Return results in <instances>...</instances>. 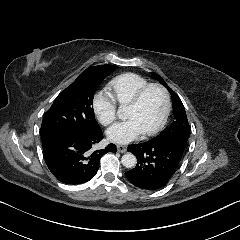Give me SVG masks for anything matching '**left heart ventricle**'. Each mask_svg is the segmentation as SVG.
<instances>
[{
	"label": "left heart ventricle",
	"mask_w": 240,
	"mask_h": 240,
	"mask_svg": "<svg viewBox=\"0 0 240 240\" xmlns=\"http://www.w3.org/2000/svg\"><path fill=\"white\" fill-rule=\"evenodd\" d=\"M162 112V93L158 89L152 88L144 94L137 108L124 110V119L135 121L142 132L149 131L158 124Z\"/></svg>",
	"instance_id": "b2bd125f"
}]
</instances>
